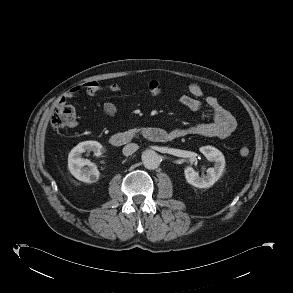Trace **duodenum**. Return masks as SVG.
<instances>
[{
	"label": "duodenum",
	"mask_w": 293,
	"mask_h": 293,
	"mask_svg": "<svg viewBox=\"0 0 293 293\" xmlns=\"http://www.w3.org/2000/svg\"><path fill=\"white\" fill-rule=\"evenodd\" d=\"M137 135H141L149 141L160 143L169 142L175 139L171 133L166 132L163 129L157 127H147L139 132L128 131L115 133L110 137L109 141L113 146L120 147L130 143Z\"/></svg>",
	"instance_id": "duodenum-1"
}]
</instances>
